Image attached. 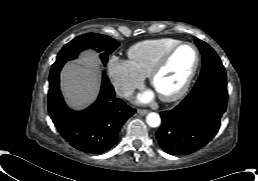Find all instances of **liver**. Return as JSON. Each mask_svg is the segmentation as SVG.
Wrapping results in <instances>:
<instances>
[{
	"label": "liver",
	"mask_w": 258,
	"mask_h": 181,
	"mask_svg": "<svg viewBox=\"0 0 258 181\" xmlns=\"http://www.w3.org/2000/svg\"><path fill=\"white\" fill-rule=\"evenodd\" d=\"M97 54L86 51L78 63H68L61 72V90L69 106L82 109L97 97L100 87Z\"/></svg>",
	"instance_id": "obj_1"
}]
</instances>
